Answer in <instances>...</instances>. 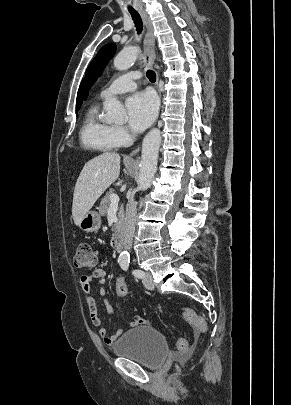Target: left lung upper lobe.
<instances>
[{
  "label": "left lung upper lobe",
  "instance_id": "obj_1",
  "mask_svg": "<svg viewBox=\"0 0 291 405\" xmlns=\"http://www.w3.org/2000/svg\"><path fill=\"white\" fill-rule=\"evenodd\" d=\"M116 51V45L113 43H109L103 46L99 52L97 53L96 57L93 59L91 64L89 65L86 71V96L88 94V89L92 86L95 82L97 77L101 74L103 68L107 64V62L111 59Z\"/></svg>",
  "mask_w": 291,
  "mask_h": 405
}]
</instances>
